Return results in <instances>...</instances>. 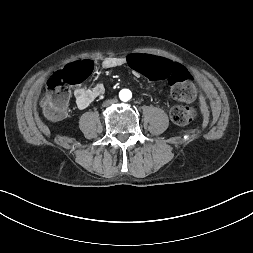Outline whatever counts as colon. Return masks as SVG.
<instances>
[{
    "instance_id": "1",
    "label": "colon",
    "mask_w": 253,
    "mask_h": 253,
    "mask_svg": "<svg viewBox=\"0 0 253 253\" xmlns=\"http://www.w3.org/2000/svg\"><path fill=\"white\" fill-rule=\"evenodd\" d=\"M127 67L135 74L166 79L171 87V94L177 101L189 103L196 97V89L189 73L173 59L135 53L128 58ZM91 68L90 62H81L67 66L52 76L42 102L49 118L60 119L66 114L70 88L83 82ZM170 117L175 124L184 126L194 119L195 110L189 106L177 105L170 110Z\"/></svg>"
}]
</instances>
